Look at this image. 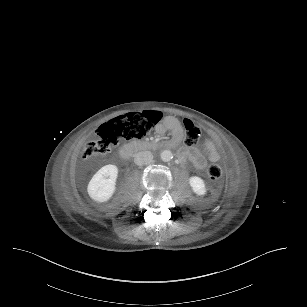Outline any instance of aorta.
Here are the masks:
<instances>
[{
  "mask_svg": "<svg viewBox=\"0 0 307 307\" xmlns=\"http://www.w3.org/2000/svg\"><path fill=\"white\" fill-rule=\"evenodd\" d=\"M160 157L163 162H169L173 159V153L170 150H164L161 152Z\"/></svg>",
  "mask_w": 307,
  "mask_h": 307,
  "instance_id": "obj_1",
  "label": "aorta"
}]
</instances>
